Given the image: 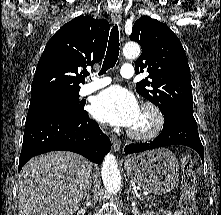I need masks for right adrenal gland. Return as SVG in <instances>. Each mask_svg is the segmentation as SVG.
Wrapping results in <instances>:
<instances>
[{"instance_id": "obj_1", "label": "right adrenal gland", "mask_w": 221, "mask_h": 215, "mask_svg": "<svg viewBox=\"0 0 221 215\" xmlns=\"http://www.w3.org/2000/svg\"><path fill=\"white\" fill-rule=\"evenodd\" d=\"M91 185H92V183H91V181H90V182L87 184L86 189H85V191H84V198L88 197V192H89V190L91 189Z\"/></svg>"}]
</instances>
